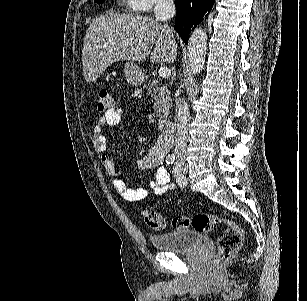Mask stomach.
Instances as JSON below:
<instances>
[{"mask_svg": "<svg viewBox=\"0 0 307 301\" xmlns=\"http://www.w3.org/2000/svg\"><path fill=\"white\" fill-rule=\"evenodd\" d=\"M124 72L125 78L129 84H133V86H138V84H142L144 82L145 74L136 62H125L124 64Z\"/></svg>", "mask_w": 307, "mask_h": 301, "instance_id": "stomach-1", "label": "stomach"}]
</instances>
